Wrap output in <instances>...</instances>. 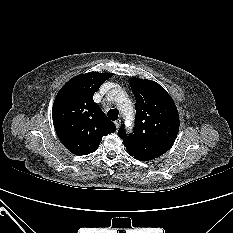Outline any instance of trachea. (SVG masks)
<instances>
[{
    "label": "trachea",
    "mask_w": 233,
    "mask_h": 233,
    "mask_svg": "<svg viewBox=\"0 0 233 233\" xmlns=\"http://www.w3.org/2000/svg\"><path fill=\"white\" fill-rule=\"evenodd\" d=\"M118 114H119V112H118V110L117 109H110L109 111H108V117H109V119L110 120H113V121H115V120H117V118H118Z\"/></svg>",
    "instance_id": "3493384b"
}]
</instances>
